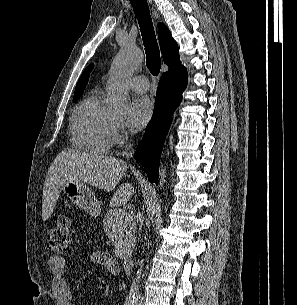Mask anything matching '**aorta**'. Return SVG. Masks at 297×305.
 Here are the masks:
<instances>
[{
    "instance_id": "obj_1",
    "label": "aorta",
    "mask_w": 297,
    "mask_h": 305,
    "mask_svg": "<svg viewBox=\"0 0 297 305\" xmlns=\"http://www.w3.org/2000/svg\"><path fill=\"white\" fill-rule=\"evenodd\" d=\"M143 61L142 52L132 46H123L111 65L110 77L106 88V105L108 110L115 114H125L128 107V78ZM166 166L161 163L159 168V188L164 189L166 184ZM143 260L139 262L136 277L130 288V295L137 290L143 271Z\"/></svg>"
}]
</instances>
